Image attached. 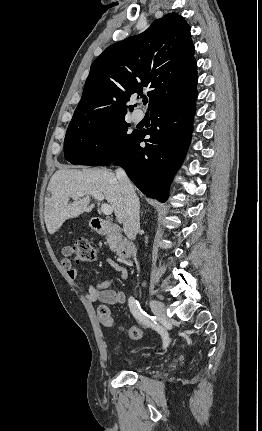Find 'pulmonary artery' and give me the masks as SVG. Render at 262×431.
Wrapping results in <instances>:
<instances>
[{"label": "pulmonary artery", "mask_w": 262, "mask_h": 431, "mask_svg": "<svg viewBox=\"0 0 262 431\" xmlns=\"http://www.w3.org/2000/svg\"><path fill=\"white\" fill-rule=\"evenodd\" d=\"M143 118H144V113H143V111H141V110H136V111H134V113H133V120H134L135 122H140V121H142V120H143Z\"/></svg>", "instance_id": "1"}]
</instances>
